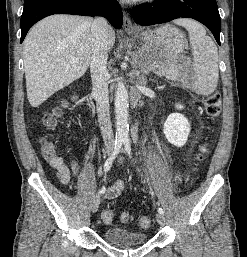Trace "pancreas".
<instances>
[{"label":"pancreas","instance_id":"cf45deb5","mask_svg":"<svg viewBox=\"0 0 247 257\" xmlns=\"http://www.w3.org/2000/svg\"><path fill=\"white\" fill-rule=\"evenodd\" d=\"M175 71L174 67L169 65L157 66L155 72L161 76H170Z\"/></svg>","mask_w":247,"mask_h":257}]
</instances>
